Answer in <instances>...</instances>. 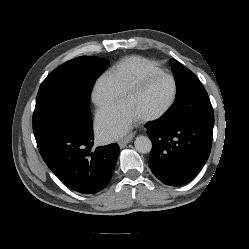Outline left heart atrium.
Returning a JSON list of instances; mask_svg holds the SVG:
<instances>
[{"instance_id":"39dd6f15","label":"left heart atrium","mask_w":249,"mask_h":249,"mask_svg":"<svg viewBox=\"0 0 249 249\" xmlns=\"http://www.w3.org/2000/svg\"><path fill=\"white\" fill-rule=\"evenodd\" d=\"M139 118L127 103L113 104L98 112V133L103 139H116L125 134Z\"/></svg>"}]
</instances>
